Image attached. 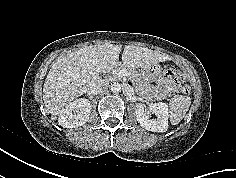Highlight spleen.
Segmentation results:
<instances>
[{"instance_id":"3e777b00","label":"spleen","mask_w":236,"mask_h":178,"mask_svg":"<svg viewBox=\"0 0 236 178\" xmlns=\"http://www.w3.org/2000/svg\"><path fill=\"white\" fill-rule=\"evenodd\" d=\"M191 105L189 96L176 95L171 98L170 106V122L172 125L178 124L186 115Z\"/></svg>"}]
</instances>
